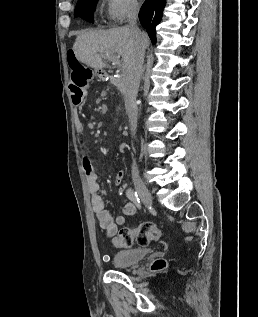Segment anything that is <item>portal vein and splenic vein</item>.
Here are the masks:
<instances>
[{"label":"portal vein and splenic vein","instance_id":"1","mask_svg":"<svg viewBox=\"0 0 258 317\" xmlns=\"http://www.w3.org/2000/svg\"><path fill=\"white\" fill-rule=\"evenodd\" d=\"M107 58H109V60H113V64H118V62H115V60H117L118 56H107Z\"/></svg>","mask_w":258,"mask_h":317}]
</instances>
